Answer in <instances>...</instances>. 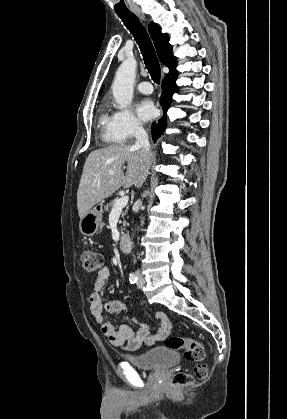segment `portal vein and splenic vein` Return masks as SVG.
<instances>
[{"instance_id": "18ae733b", "label": "portal vein and splenic vein", "mask_w": 287, "mask_h": 419, "mask_svg": "<svg viewBox=\"0 0 287 419\" xmlns=\"http://www.w3.org/2000/svg\"><path fill=\"white\" fill-rule=\"evenodd\" d=\"M109 174L112 175L113 171H109ZM128 201H129V196L127 195H124L121 198L117 199L111 212L122 210L128 204Z\"/></svg>"}]
</instances>
